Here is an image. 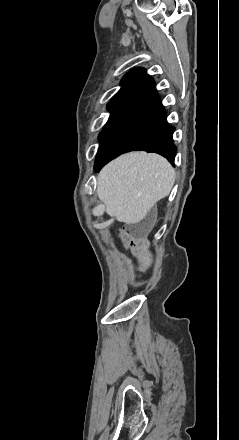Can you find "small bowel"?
I'll use <instances>...</instances> for the list:
<instances>
[{
    "label": "small bowel",
    "instance_id": "small-bowel-1",
    "mask_svg": "<svg viewBox=\"0 0 239 440\" xmlns=\"http://www.w3.org/2000/svg\"><path fill=\"white\" fill-rule=\"evenodd\" d=\"M134 258L142 265H148L151 263V257L144 250L143 246H135L132 248Z\"/></svg>",
    "mask_w": 239,
    "mask_h": 440
}]
</instances>
